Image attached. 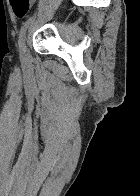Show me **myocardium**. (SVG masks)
Here are the masks:
<instances>
[{"mask_svg": "<svg viewBox=\"0 0 140 196\" xmlns=\"http://www.w3.org/2000/svg\"><path fill=\"white\" fill-rule=\"evenodd\" d=\"M52 192H62V191H52Z\"/></svg>", "mask_w": 140, "mask_h": 196, "instance_id": "obj_1", "label": "myocardium"}]
</instances>
